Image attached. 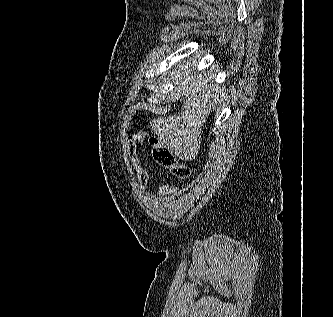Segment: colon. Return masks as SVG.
Segmentation results:
<instances>
[{
    "mask_svg": "<svg viewBox=\"0 0 333 317\" xmlns=\"http://www.w3.org/2000/svg\"><path fill=\"white\" fill-rule=\"evenodd\" d=\"M154 161L169 170L174 176L186 179L190 176V169L170 152L157 138L149 139Z\"/></svg>",
    "mask_w": 333,
    "mask_h": 317,
    "instance_id": "1",
    "label": "colon"
}]
</instances>
